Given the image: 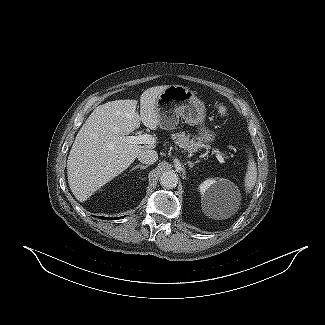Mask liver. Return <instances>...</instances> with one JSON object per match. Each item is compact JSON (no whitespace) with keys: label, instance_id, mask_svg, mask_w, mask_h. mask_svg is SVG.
<instances>
[{"label":"liver","instance_id":"liver-1","mask_svg":"<svg viewBox=\"0 0 325 325\" xmlns=\"http://www.w3.org/2000/svg\"><path fill=\"white\" fill-rule=\"evenodd\" d=\"M169 85L151 87L136 100H115L99 105L79 130L67 160L71 192L86 201L95 191L126 170L142 150L154 145L129 144L126 135L139 128L140 121L151 130L159 124L156 99Z\"/></svg>","mask_w":325,"mask_h":325}]
</instances>
